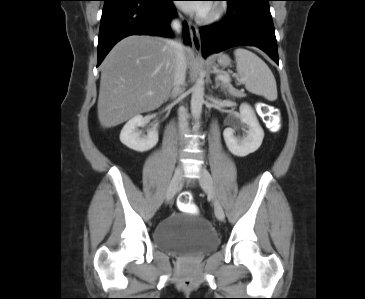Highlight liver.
<instances>
[{"instance_id": "obj_1", "label": "liver", "mask_w": 365, "mask_h": 299, "mask_svg": "<svg viewBox=\"0 0 365 299\" xmlns=\"http://www.w3.org/2000/svg\"><path fill=\"white\" fill-rule=\"evenodd\" d=\"M184 57L190 65V49H184ZM175 58L171 41L160 37L134 35L120 41L101 64L97 105L101 126L115 127L166 102L173 87Z\"/></svg>"}]
</instances>
